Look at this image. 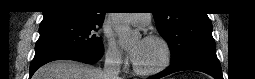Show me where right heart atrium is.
Here are the masks:
<instances>
[{
	"label": "right heart atrium",
	"instance_id": "obj_1",
	"mask_svg": "<svg viewBox=\"0 0 255 79\" xmlns=\"http://www.w3.org/2000/svg\"><path fill=\"white\" fill-rule=\"evenodd\" d=\"M106 58L107 61L114 66L123 67L127 64L124 53L112 39L107 41Z\"/></svg>",
	"mask_w": 255,
	"mask_h": 79
}]
</instances>
